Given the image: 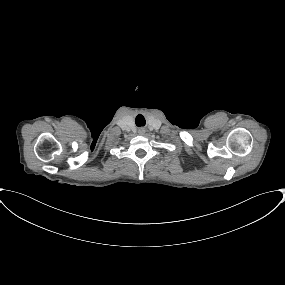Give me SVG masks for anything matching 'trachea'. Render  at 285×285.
<instances>
[{
	"label": "trachea",
	"instance_id": "3493384b",
	"mask_svg": "<svg viewBox=\"0 0 285 285\" xmlns=\"http://www.w3.org/2000/svg\"><path fill=\"white\" fill-rule=\"evenodd\" d=\"M136 125L138 127L145 125V119H144V117L142 115H138L137 116V118H136Z\"/></svg>",
	"mask_w": 285,
	"mask_h": 285
}]
</instances>
